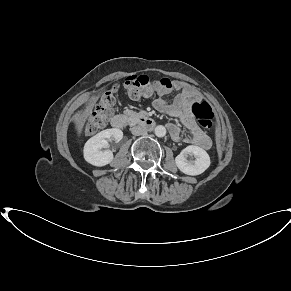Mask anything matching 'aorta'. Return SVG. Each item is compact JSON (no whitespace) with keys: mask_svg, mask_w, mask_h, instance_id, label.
I'll use <instances>...</instances> for the list:
<instances>
[{"mask_svg":"<svg viewBox=\"0 0 291 291\" xmlns=\"http://www.w3.org/2000/svg\"><path fill=\"white\" fill-rule=\"evenodd\" d=\"M155 135L157 137H164L166 135V128L162 125H158L155 127Z\"/></svg>","mask_w":291,"mask_h":291,"instance_id":"762f6f07","label":"aorta"}]
</instances>
